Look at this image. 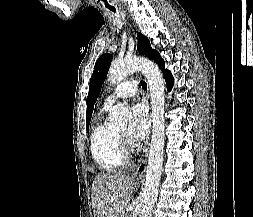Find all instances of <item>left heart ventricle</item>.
Segmentation results:
<instances>
[{
	"label": "left heart ventricle",
	"instance_id": "b2bd125f",
	"mask_svg": "<svg viewBox=\"0 0 253 217\" xmlns=\"http://www.w3.org/2000/svg\"><path fill=\"white\" fill-rule=\"evenodd\" d=\"M127 130L126 129H123L120 131L121 134H126Z\"/></svg>",
	"mask_w": 253,
	"mask_h": 217
}]
</instances>
